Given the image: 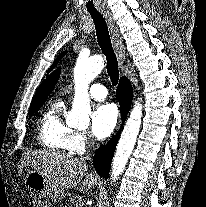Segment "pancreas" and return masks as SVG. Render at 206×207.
<instances>
[{"label":"pancreas","mask_w":206,"mask_h":207,"mask_svg":"<svg viewBox=\"0 0 206 207\" xmlns=\"http://www.w3.org/2000/svg\"><path fill=\"white\" fill-rule=\"evenodd\" d=\"M70 203H69V207H83L82 206V198L79 195H72L69 198Z\"/></svg>","instance_id":"pancreas-1"}]
</instances>
